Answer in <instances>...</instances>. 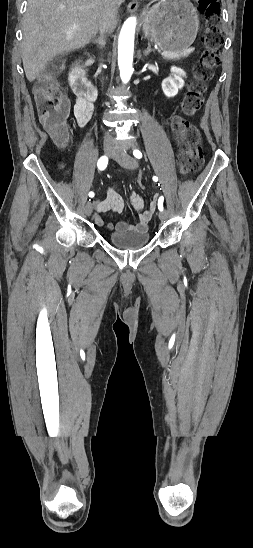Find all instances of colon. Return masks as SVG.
I'll use <instances>...</instances> for the list:
<instances>
[{
  "mask_svg": "<svg viewBox=\"0 0 253 548\" xmlns=\"http://www.w3.org/2000/svg\"><path fill=\"white\" fill-rule=\"evenodd\" d=\"M206 16V28L202 35L204 50L198 64L194 67V80L184 94L181 102L182 114L192 116L202 107L206 82L213 76L214 69L220 62V48L223 35L220 30V4L218 0H198ZM60 66L53 64L37 78L33 92L39 118L44 127L54 135L57 141L64 144L67 140L68 102L59 90L55 75ZM172 129L178 138L180 154L178 165L184 176L198 172L203 165L201 137L198 130L182 115L172 119ZM138 188L145 190V175L137 177Z\"/></svg>",
  "mask_w": 253,
  "mask_h": 548,
  "instance_id": "1",
  "label": "colon"
}]
</instances>
